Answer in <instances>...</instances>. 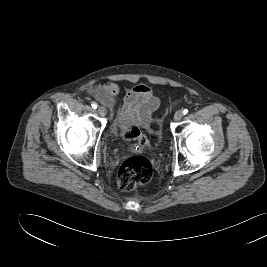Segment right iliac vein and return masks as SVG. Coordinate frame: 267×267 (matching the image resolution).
I'll return each mask as SVG.
<instances>
[{
    "instance_id": "1",
    "label": "right iliac vein",
    "mask_w": 267,
    "mask_h": 267,
    "mask_svg": "<svg viewBox=\"0 0 267 267\" xmlns=\"http://www.w3.org/2000/svg\"><path fill=\"white\" fill-rule=\"evenodd\" d=\"M98 113H99L100 116H105L107 114V110H106L105 107L99 106L98 107Z\"/></svg>"
}]
</instances>
